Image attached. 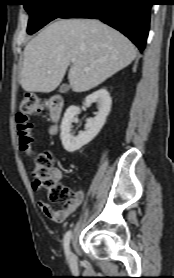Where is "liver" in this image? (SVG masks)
<instances>
[{
    "label": "liver",
    "instance_id": "liver-1",
    "mask_svg": "<svg viewBox=\"0 0 174 278\" xmlns=\"http://www.w3.org/2000/svg\"><path fill=\"white\" fill-rule=\"evenodd\" d=\"M136 54L127 37L99 20L59 19L26 45L19 82L26 92L49 93L70 66L71 89L85 92L127 67Z\"/></svg>",
    "mask_w": 174,
    "mask_h": 278
}]
</instances>
